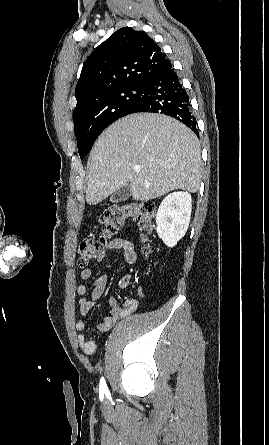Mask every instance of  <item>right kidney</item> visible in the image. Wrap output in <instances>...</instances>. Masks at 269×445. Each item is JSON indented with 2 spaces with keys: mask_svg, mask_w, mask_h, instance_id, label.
I'll list each match as a JSON object with an SVG mask.
<instances>
[{
  "mask_svg": "<svg viewBox=\"0 0 269 445\" xmlns=\"http://www.w3.org/2000/svg\"><path fill=\"white\" fill-rule=\"evenodd\" d=\"M192 199L188 192H173L161 202L156 215L159 238L173 247L186 234L189 226Z\"/></svg>",
  "mask_w": 269,
  "mask_h": 445,
  "instance_id": "1",
  "label": "right kidney"
}]
</instances>
